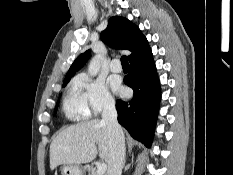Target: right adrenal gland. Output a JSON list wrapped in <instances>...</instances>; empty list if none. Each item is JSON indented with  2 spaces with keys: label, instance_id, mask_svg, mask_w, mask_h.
<instances>
[{
  "label": "right adrenal gland",
  "instance_id": "right-adrenal-gland-1",
  "mask_svg": "<svg viewBox=\"0 0 233 175\" xmlns=\"http://www.w3.org/2000/svg\"><path fill=\"white\" fill-rule=\"evenodd\" d=\"M125 163H126V156H124L123 167L125 166Z\"/></svg>",
  "mask_w": 233,
  "mask_h": 175
}]
</instances>
